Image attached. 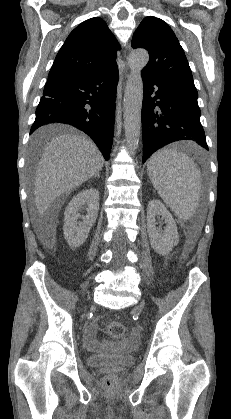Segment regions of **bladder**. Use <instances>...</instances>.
Segmentation results:
<instances>
[{
	"instance_id": "31cf9c89",
	"label": "bladder",
	"mask_w": 231,
	"mask_h": 419,
	"mask_svg": "<svg viewBox=\"0 0 231 419\" xmlns=\"http://www.w3.org/2000/svg\"><path fill=\"white\" fill-rule=\"evenodd\" d=\"M87 364L91 367L115 366L124 367L135 362V356L123 353L89 354Z\"/></svg>"
}]
</instances>
